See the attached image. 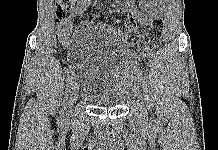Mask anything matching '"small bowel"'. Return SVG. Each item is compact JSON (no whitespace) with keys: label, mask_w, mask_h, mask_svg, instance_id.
I'll return each instance as SVG.
<instances>
[{"label":"small bowel","mask_w":218,"mask_h":150,"mask_svg":"<svg viewBox=\"0 0 218 150\" xmlns=\"http://www.w3.org/2000/svg\"><path fill=\"white\" fill-rule=\"evenodd\" d=\"M92 0H77L70 17L63 19L57 29L58 40L64 48L71 49L69 58L75 59L77 51L72 48L75 39L85 32L96 29L101 32L112 34L115 37L122 39L125 31L114 29L109 23L101 22L95 24L92 19L83 20L80 25L74 30L72 28V19L81 16L89 7ZM165 0H142L138 5L134 0H125L123 9L112 10V12H119L125 14V29H137V23L144 26H149L158 18L159 14L164 8ZM121 0H113V7H117ZM94 17H99V14H94Z\"/></svg>","instance_id":"obj_1"}]
</instances>
